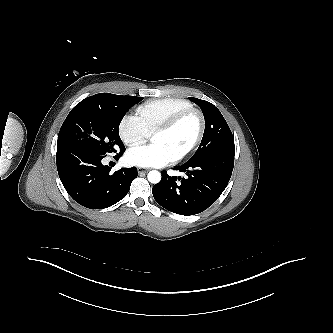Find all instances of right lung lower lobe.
I'll list each match as a JSON object with an SVG mask.
<instances>
[{
	"label": "right lung lower lobe",
	"instance_id": "right-lung-lower-lobe-1",
	"mask_svg": "<svg viewBox=\"0 0 333 333\" xmlns=\"http://www.w3.org/2000/svg\"><path fill=\"white\" fill-rule=\"evenodd\" d=\"M103 158L85 150L57 149V170L63 186L77 203L90 209L107 208L122 200L138 175L135 167L110 173L111 167L101 163Z\"/></svg>",
	"mask_w": 333,
	"mask_h": 333
}]
</instances>
